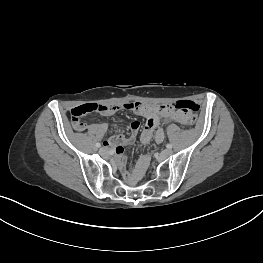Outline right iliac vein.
Returning <instances> with one entry per match:
<instances>
[{
  "label": "right iliac vein",
  "mask_w": 263,
  "mask_h": 263,
  "mask_svg": "<svg viewBox=\"0 0 263 263\" xmlns=\"http://www.w3.org/2000/svg\"><path fill=\"white\" fill-rule=\"evenodd\" d=\"M99 153H100L101 155L105 156V155H107L108 151H107L105 148H101V149L99 150Z\"/></svg>",
  "instance_id": "63e3f726"
}]
</instances>
